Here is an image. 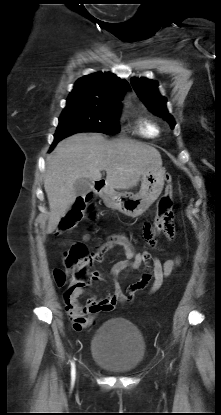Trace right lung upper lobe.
<instances>
[{"instance_id":"1","label":"right lung upper lobe","mask_w":221,"mask_h":415,"mask_svg":"<svg viewBox=\"0 0 221 415\" xmlns=\"http://www.w3.org/2000/svg\"><path fill=\"white\" fill-rule=\"evenodd\" d=\"M127 88H129L128 82L115 74L97 72L80 78L67 100L119 105Z\"/></svg>"}]
</instances>
